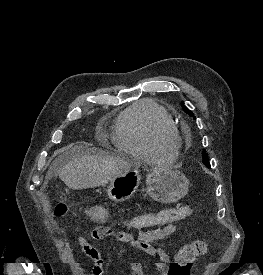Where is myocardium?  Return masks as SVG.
<instances>
[{
    "mask_svg": "<svg viewBox=\"0 0 263 275\" xmlns=\"http://www.w3.org/2000/svg\"><path fill=\"white\" fill-rule=\"evenodd\" d=\"M155 137L159 142L162 143H179V136L178 133L175 131H163V130H157L155 132Z\"/></svg>",
    "mask_w": 263,
    "mask_h": 275,
    "instance_id": "myocardium-1",
    "label": "myocardium"
}]
</instances>
